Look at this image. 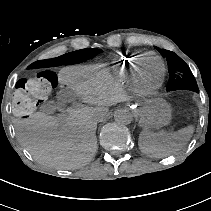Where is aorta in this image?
<instances>
[{
    "label": "aorta",
    "instance_id": "762f6f07",
    "mask_svg": "<svg viewBox=\"0 0 211 211\" xmlns=\"http://www.w3.org/2000/svg\"><path fill=\"white\" fill-rule=\"evenodd\" d=\"M114 119L118 124L128 125L133 120V114L127 108L117 109L114 112Z\"/></svg>",
    "mask_w": 211,
    "mask_h": 211
}]
</instances>
